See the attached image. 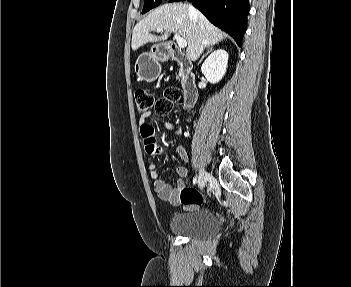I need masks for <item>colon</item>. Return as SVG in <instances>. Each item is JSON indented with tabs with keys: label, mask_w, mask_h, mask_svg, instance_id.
Wrapping results in <instances>:
<instances>
[{
	"label": "colon",
	"mask_w": 351,
	"mask_h": 287,
	"mask_svg": "<svg viewBox=\"0 0 351 287\" xmlns=\"http://www.w3.org/2000/svg\"><path fill=\"white\" fill-rule=\"evenodd\" d=\"M182 101L183 93L179 88L166 89L163 98L157 101L153 92L149 89L140 88L135 92V103L139 113H145L154 109L158 116H165L170 112L174 104H180ZM179 198L184 206H193L203 201V196L191 187L183 188Z\"/></svg>",
	"instance_id": "5ec220e1"
}]
</instances>
